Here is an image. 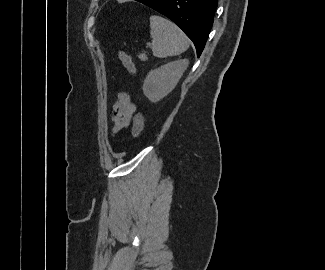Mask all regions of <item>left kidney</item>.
<instances>
[{"label":"left kidney","instance_id":"left-kidney-1","mask_svg":"<svg viewBox=\"0 0 325 270\" xmlns=\"http://www.w3.org/2000/svg\"><path fill=\"white\" fill-rule=\"evenodd\" d=\"M188 64L189 61L183 59L151 70L144 80V95L153 103L163 99L176 87Z\"/></svg>","mask_w":325,"mask_h":270}]
</instances>
